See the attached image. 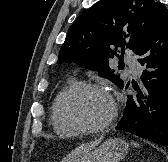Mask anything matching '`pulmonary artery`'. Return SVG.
<instances>
[{
	"label": "pulmonary artery",
	"mask_w": 168,
	"mask_h": 162,
	"mask_svg": "<svg viewBox=\"0 0 168 162\" xmlns=\"http://www.w3.org/2000/svg\"><path fill=\"white\" fill-rule=\"evenodd\" d=\"M126 63L128 64L132 74L134 76H137L139 74V67H140L139 62L135 58H128L126 60Z\"/></svg>",
	"instance_id": "1"
}]
</instances>
